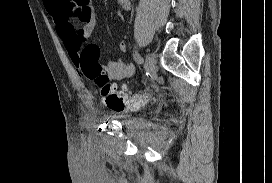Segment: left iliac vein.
I'll list each match as a JSON object with an SVG mask.
<instances>
[{"label": "left iliac vein", "instance_id": "1", "mask_svg": "<svg viewBox=\"0 0 272 183\" xmlns=\"http://www.w3.org/2000/svg\"><path fill=\"white\" fill-rule=\"evenodd\" d=\"M157 56L154 52L148 53L145 60V67L152 76L156 75Z\"/></svg>", "mask_w": 272, "mask_h": 183}]
</instances>
